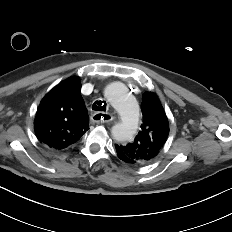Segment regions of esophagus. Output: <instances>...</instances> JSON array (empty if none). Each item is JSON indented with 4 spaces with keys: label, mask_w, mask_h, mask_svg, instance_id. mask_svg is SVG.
Wrapping results in <instances>:
<instances>
[{
    "label": "esophagus",
    "mask_w": 232,
    "mask_h": 232,
    "mask_svg": "<svg viewBox=\"0 0 232 232\" xmlns=\"http://www.w3.org/2000/svg\"><path fill=\"white\" fill-rule=\"evenodd\" d=\"M91 119L95 123H108L113 120V116L110 113L96 112Z\"/></svg>",
    "instance_id": "34e87169"
}]
</instances>
